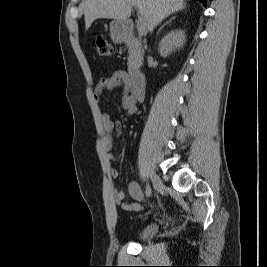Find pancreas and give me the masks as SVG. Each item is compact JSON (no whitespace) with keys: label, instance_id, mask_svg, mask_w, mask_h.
<instances>
[{"label":"pancreas","instance_id":"obj_1","mask_svg":"<svg viewBox=\"0 0 267 267\" xmlns=\"http://www.w3.org/2000/svg\"><path fill=\"white\" fill-rule=\"evenodd\" d=\"M128 47V72L132 74L142 64L143 60V49L139 40L135 37H130L126 40Z\"/></svg>","mask_w":267,"mask_h":267}]
</instances>
